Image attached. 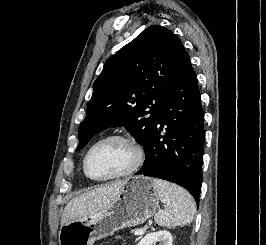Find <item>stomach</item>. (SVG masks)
Masks as SVG:
<instances>
[{
  "label": "stomach",
  "instance_id": "1",
  "mask_svg": "<svg viewBox=\"0 0 266 245\" xmlns=\"http://www.w3.org/2000/svg\"><path fill=\"white\" fill-rule=\"evenodd\" d=\"M159 197L149 177H127L110 207L97 215L76 219L61 227L59 245H94L115 231L136 227L155 215Z\"/></svg>",
  "mask_w": 266,
  "mask_h": 245
}]
</instances>
